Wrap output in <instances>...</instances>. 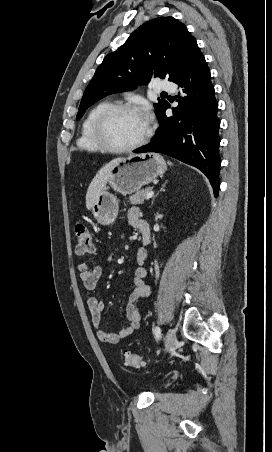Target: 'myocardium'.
<instances>
[{
  "instance_id": "f54148a6",
  "label": "myocardium",
  "mask_w": 272,
  "mask_h": 452,
  "mask_svg": "<svg viewBox=\"0 0 272 452\" xmlns=\"http://www.w3.org/2000/svg\"><path fill=\"white\" fill-rule=\"evenodd\" d=\"M118 112L140 113L138 107L129 104H108L103 107L95 116L92 123V133L100 146L110 152H128L142 146L151 135V126L147 123L144 134L135 142L128 145L115 144L108 135L107 122L109 118Z\"/></svg>"
}]
</instances>
